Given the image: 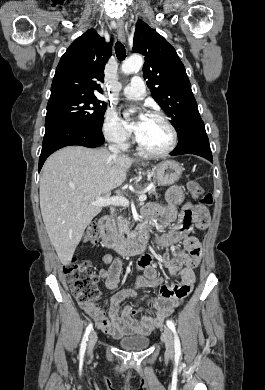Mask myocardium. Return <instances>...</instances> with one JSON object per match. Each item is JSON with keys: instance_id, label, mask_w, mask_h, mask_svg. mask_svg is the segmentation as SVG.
Wrapping results in <instances>:
<instances>
[{"instance_id": "myocardium-1", "label": "myocardium", "mask_w": 265, "mask_h": 390, "mask_svg": "<svg viewBox=\"0 0 265 390\" xmlns=\"http://www.w3.org/2000/svg\"><path fill=\"white\" fill-rule=\"evenodd\" d=\"M147 115L151 116V117H155V118L161 120L165 124V126L168 128V130L170 132L171 141H170V144L168 145V147L165 148L164 150H162V151H151V150L147 149L140 142L138 136L136 135L135 136V142H136L138 150L140 152H142L143 154H145L147 156H150V157H165V156H168L169 154H171L174 151V149L176 148L177 143H178V133H177L176 128L174 127L172 122L169 120V118L165 114H163L162 112L150 111Z\"/></svg>"}]
</instances>
